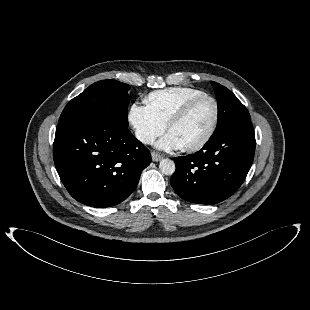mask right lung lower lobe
<instances>
[{
    "label": "right lung lower lobe",
    "mask_w": 310,
    "mask_h": 310,
    "mask_svg": "<svg viewBox=\"0 0 310 310\" xmlns=\"http://www.w3.org/2000/svg\"><path fill=\"white\" fill-rule=\"evenodd\" d=\"M53 157L69 194L92 207L125 200L151 162L148 149L127 128L85 118L58 123Z\"/></svg>",
    "instance_id": "98d812e1"
}]
</instances>
